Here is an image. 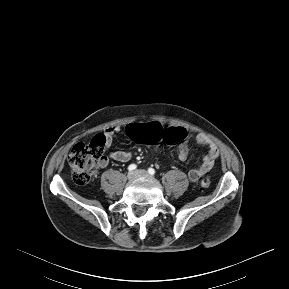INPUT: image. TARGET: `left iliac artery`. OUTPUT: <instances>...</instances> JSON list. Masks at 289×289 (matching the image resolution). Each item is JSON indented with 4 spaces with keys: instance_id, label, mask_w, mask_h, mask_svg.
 <instances>
[{
    "instance_id": "1",
    "label": "left iliac artery",
    "mask_w": 289,
    "mask_h": 289,
    "mask_svg": "<svg viewBox=\"0 0 289 289\" xmlns=\"http://www.w3.org/2000/svg\"><path fill=\"white\" fill-rule=\"evenodd\" d=\"M148 172H149V174H151V175H155V173H156L153 168H149V169H148Z\"/></svg>"
}]
</instances>
